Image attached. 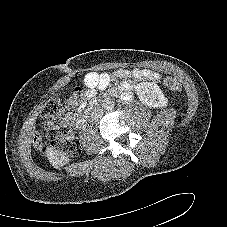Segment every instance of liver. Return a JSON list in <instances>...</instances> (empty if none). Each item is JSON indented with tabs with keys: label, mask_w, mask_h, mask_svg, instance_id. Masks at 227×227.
<instances>
[{
	"label": "liver",
	"mask_w": 227,
	"mask_h": 227,
	"mask_svg": "<svg viewBox=\"0 0 227 227\" xmlns=\"http://www.w3.org/2000/svg\"><path fill=\"white\" fill-rule=\"evenodd\" d=\"M45 156L48 158L49 162L55 168H60L69 163L70 159L66 156L65 153L56 150L53 147H48Z\"/></svg>",
	"instance_id": "obj_1"
}]
</instances>
